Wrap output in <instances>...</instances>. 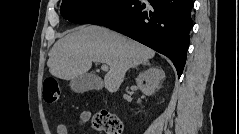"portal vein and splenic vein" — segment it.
Instances as JSON below:
<instances>
[{
    "label": "portal vein and splenic vein",
    "mask_w": 239,
    "mask_h": 134,
    "mask_svg": "<svg viewBox=\"0 0 239 134\" xmlns=\"http://www.w3.org/2000/svg\"><path fill=\"white\" fill-rule=\"evenodd\" d=\"M101 69H102L103 71H108L109 67H108L107 64L103 63L102 66H101Z\"/></svg>",
    "instance_id": "obj_1"
}]
</instances>
